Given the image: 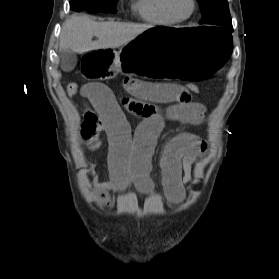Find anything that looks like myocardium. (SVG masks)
Instances as JSON below:
<instances>
[{
    "label": "myocardium",
    "instance_id": "f54148a6",
    "mask_svg": "<svg viewBox=\"0 0 279 279\" xmlns=\"http://www.w3.org/2000/svg\"><path fill=\"white\" fill-rule=\"evenodd\" d=\"M191 4H192V8L189 12L188 15L186 16H177L171 9L170 6V0H163V7L165 12L175 21L179 22V21H186L188 20L196 11L197 8V1L196 0H191Z\"/></svg>",
    "mask_w": 279,
    "mask_h": 279
}]
</instances>
